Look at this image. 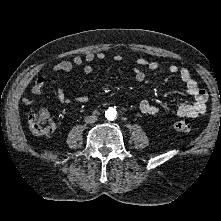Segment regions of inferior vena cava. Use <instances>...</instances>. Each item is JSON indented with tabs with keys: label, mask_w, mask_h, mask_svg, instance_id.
I'll list each match as a JSON object with an SVG mask.
<instances>
[{
	"label": "inferior vena cava",
	"mask_w": 221,
	"mask_h": 221,
	"mask_svg": "<svg viewBox=\"0 0 221 221\" xmlns=\"http://www.w3.org/2000/svg\"><path fill=\"white\" fill-rule=\"evenodd\" d=\"M96 121H97V117L96 116H87L85 118V122L89 123V124H92V123H94Z\"/></svg>",
	"instance_id": "obj_1"
}]
</instances>
